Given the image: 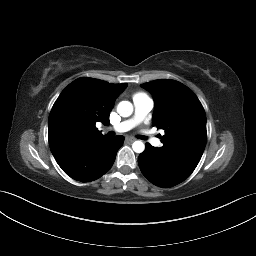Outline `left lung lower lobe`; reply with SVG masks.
Returning a JSON list of instances; mask_svg holds the SVG:
<instances>
[{"label": "left lung lower lobe", "instance_id": "1", "mask_svg": "<svg viewBox=\"0 0 256 256\" xmlns=\"http://www.w3.org/2000/svg\"><path fill=\"white\" fill-rule=\"evenodd\" d=\"M143 175L159 187L175 186L190 176L195 167L186 165L146 143V148L138 157Z\"/></svg>", "mask_w": 256, "mask_h": 256}]
</instances>
